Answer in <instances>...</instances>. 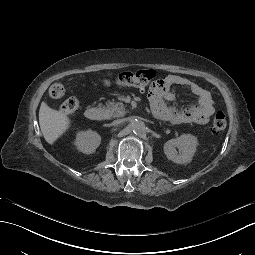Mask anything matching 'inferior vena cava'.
I'll return each instance as SVG.
<instances>
[{"label": "inferior vena cava", "instance_id": "obj_1", "mask_svg": "<svg viewBox=\"0 0 255 255\" xmlns=\"http://www.w3.org/2000/svg\"><path fill=\"white\" fill-rule=\"evenodd\" d=\"M121 122L120 120H115L112 122V125L116 126V125H119Z\"/></svg>", "mask_w": 255, "mask_h": 255}]
</instances>
